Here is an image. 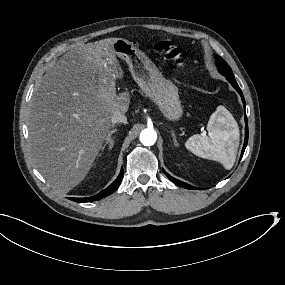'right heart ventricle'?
Returning a JSON list of instances; mask_svg holds the SVG:
<instances>
[{
	"mask_svg": "<svg viewBox=\"0 0 285 285\" xmlns=\"http://www.w3.org/2000/svg\"><path fill=\"white\" fill-rule=\"evenodd\" d=\"M162 93L165 96V98H169L172 94V88L169 86L163 87L162 88Z\"/></svg>",
	"mask_w": 285,
	"mask_h": 285,
	"instance_id": "obj_1",
	"label": "right heart ventricle"
}]
</instances>
